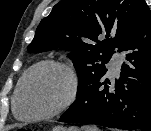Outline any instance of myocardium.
<instances>
[{
	"label": "myocardium",
	"instance_id": "1",
	"mask_svg": "<svg viewBox=\"0 0 151 131\" xmlns=\"http://www.w3.org/2000/svg\"><path fill=\"white\" fill-rule=\"evenodd\" d=\"M48 67L59 69L65 74L68 82V88L64 99L60 102L58 106H56L53 110L49 112L43 114H37V115H23L19 109V102L28 78L34 72ZM78 92H79V78L75 70L70 65L58 60H52V59L44 60L31 66L23 74L22 78L19 81L16 93L13 98V110L15 115L19 118H25L29 120H45V119L53 118L64 112L73 104V102L75 101L78 95Z\"/></svg>",
	"mask_w": 151,
	"mask_h": 131
}]
</instances>
